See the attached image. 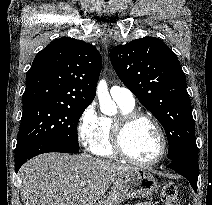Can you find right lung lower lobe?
I'll list each match as a JSON object with an SVG mask.
<instances>
[{"instance_id": "right-lung-lower-lobe-1", "label": "right lung lower lobe", "mask_w": 212, "mask_h": 205, "mask_svg": "<svg viewBox=\"0 0 212 205\" xmlns=\"http://www.w3.org/2000/svg\"><path fill=\"white\" fill-rule=\"evenodd\" d=\"M78 149L79 147L53 141H41L29 144L15 151V171L17 173L19 168L27 160L39 154L47 152L78 153Z\"/></svg>"}]
</instances>
